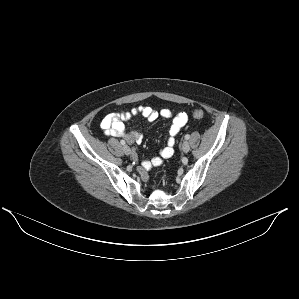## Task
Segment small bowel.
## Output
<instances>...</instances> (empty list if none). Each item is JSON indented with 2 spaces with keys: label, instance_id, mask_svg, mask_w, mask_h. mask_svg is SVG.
Returning <instances> with one entry per match:
<instances>
[{
  "label": "small bowel",
  "instance_id": "c3829d8e",
  "mask_svg": "<svg viewBox=\"0 0 299 299\" xmlns=\"http://www.w3.org/2000/svg\"><path fill=\"white\" fill-rule=\"evenodd\" d=\"M138 115H141L150 121L155 120L159 115L164 118L173 117V114L169 109H162L160 112H157L150 107H139L133 108L129 111L109 113L102 119L101 128L106 135L116 138H123L131 145L140 143L142 140L141 134L133 130H127L125 128V122L131 119L133 116ZM186 122L187 115L184 112H180L173 117L172 123L167 130L168 138L166 140V145L160 150L159 155L144 161L138 169V172L143 180L148 179L147 171L149 169L152 167H158L163 164L164 160L173 157L175 137ZM133 159L136 160L135 155H133Z\"/></svg>",
  "mask_w": 299,
  "mask_h": 299
}]
</instances>
